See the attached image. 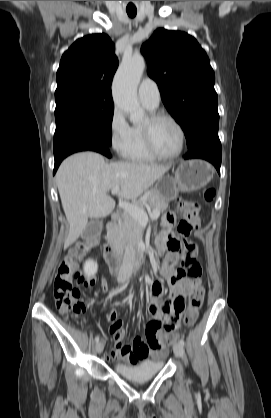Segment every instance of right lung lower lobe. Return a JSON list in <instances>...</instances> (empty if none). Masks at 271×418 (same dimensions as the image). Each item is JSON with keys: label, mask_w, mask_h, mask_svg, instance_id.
Listing matches in <instances>:
<instances>
[{"label": "right lung lower lobe", "mask_w": 271, "mask_h": 418, "mask_svg": "<svg viewBox=\"0 0 271 418\" xmlns=\"http://www.w3.org/2000/svg\"><path fill=\"white\" fill-rule=\"evenodd\" d=\"M110 145L111 144L107 141V139L102 136H94V137H89L86 139L64 143L54 148V158H55L54 173L59 167L61 161L68 155L75 153V152L91 150V151L99 152L107 157H110L111 155L108 149Z\"/></svg>", "instance_id": "right-lung-lower-lobe-1"}]
</instances>
